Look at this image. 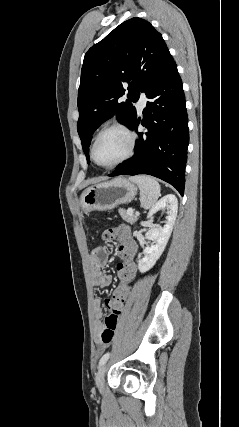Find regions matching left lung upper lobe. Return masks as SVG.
<instances>
[{
    "label": "left lung upper lobe",
    "mask_w": 239,
    "mask_h": 427,
    "mask_svg": "<svg viewBox=\"0 0 239 427\" xmlns=\"http://www.w3.org/2000/svg\"><path fill=\"white\" fill-rule=\"evenodd\" d=\"M174 62L161 34L146 20L129 19L85 54L78 92L77 130L89 160L91 136L113 115L129 127L133 102ZM128 84V99L123 85Z\"/></svg>",
    "instance_id": "left-lung-upper-lobe-1"
}]
</instances>
